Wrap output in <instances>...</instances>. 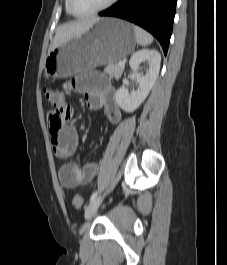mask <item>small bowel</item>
Returning a JSON list of instances; mask_svg holds the SVG:
<instances>
[{
  "label": "small bowel",
  "instance_id": "c3829d8e",
  "mask_svg": "<svg viewBox=\"0 0 227 265\" xmlns=\"http://www.w3.org/2000/svg\"><path fill=\"white\" fill-rule=\"evenodd\" d=\"M81 77L71 81L68 88L84 95L86 104L91 110L103 109L112 124L122 120V112L115 98V90L104 77V72H81ZM51 145L59 159L71 158L78 146V134L73 126H66L56 134H52ZM97 172L95 163L80 165L68 162L59 171V179L63 187L73 189L93 180Z\"/></svg>",
  "mask_w": 227,
  "mask_h": 265
}]
</instances>
